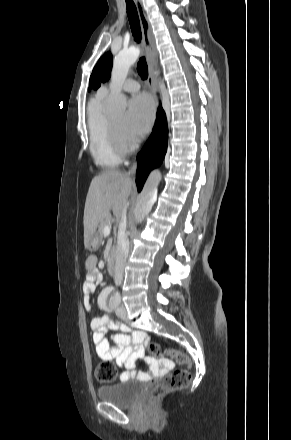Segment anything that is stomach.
Instances as JSON below:
<instances>
[{
    "label": "stomach",
    "instance_id": "0dacf381",
    "mask_svg": "<svg viewBox=\"0 0 291 440\" xmlns=\"http://www.w3.org/2000/svg\"><path fill=\"white\" fill-rule=\"evenodd\" d=\"M100 243V237L98 235H95L91 240L90 243L88 245V248L90 249H95L98 247Z\"/></svg>",
    "mask_w": 291,
    "mask_h": 440
}]
</instances>
